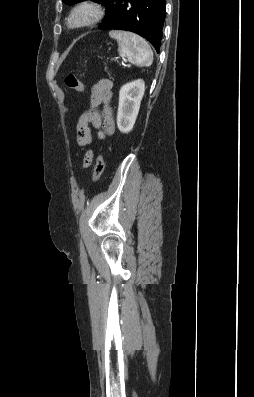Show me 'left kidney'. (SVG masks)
<instances>
[{"instance_id":"left-kidney-1","label":"left kidney","mask_w":254,"mask_h":397,"mask_svg":"<svg viewBox=\"0 0 254 397\" xmlns=\"http://www.w3.org/2000/svg\"><path fill=\"white\" fill-rule=\"evenodd\" d=\"M144 91L145 83L141 79L132 81L121 87L117 113V126L120 132L126 134L133 129Z\"/></svg>"}]
</instances>
